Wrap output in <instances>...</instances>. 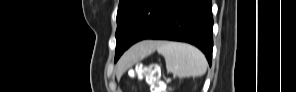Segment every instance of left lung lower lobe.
<instances>
[{"instance_id": "0a47b994", "label": "left lung lower lobe", "mask_w": 296, "mask_h": 92, "mask_svg": "<svg viewBox=\"0 0 296 92\" xmlns=\"http://www.w3.org/2000/svg\"><path fill=\"white\" fill-rule=\"evenodd\" d=\"M213 19L211 0H170L160 25L145 39L187 42L212 61Z\"/></svg>"}]
</instances>
